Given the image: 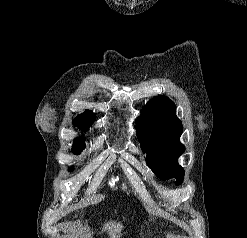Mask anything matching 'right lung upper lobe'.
Listing matches in <instances>:
<instances>
[{
    "mask_svg": "<svg viewBox=\"0 0 247 238\" xmlns=\"http://www.w3.org/2000/svg\"><path fill=\"white\" fill-rule=\"evenodd\" d=\"M95 120V114L89 110H86L84 113L78 115L74 120L73 124L75 126L80 127L84 131H87V128L90 127V125ZM73 145H82L85 146L84 140L82 138H76Z\"/></svg>",
    "mask_w": 247,
    "mask_h": 238,
    "instance_id": "obj_1",
    "label": "right lung upper lobe"
}]
</instances>
